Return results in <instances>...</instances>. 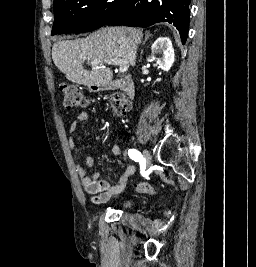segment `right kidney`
<instances>
[{
  "instance_id": "obj_1",
  "label": "right kidney",
  "mask_w": 256,
  "mask_h": 267,
  "mask_svg": "<svg viewBox=\"0 0 256 267\" xmlns=\"http://www.w3.org/2000/svg\"><path fill=\"white\" fill-rule=\"evenodd\" d=\"M151 52L152 54L150 58H154L153 54L161 52V58H156L158 68H161L164 72H168V70L172 68V64L174 62V50L169 38H157L151 46Z\"/></svg>"
}]
</instances>
